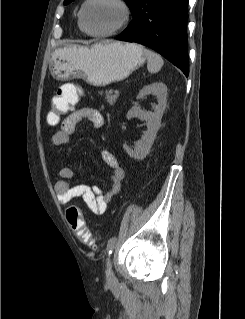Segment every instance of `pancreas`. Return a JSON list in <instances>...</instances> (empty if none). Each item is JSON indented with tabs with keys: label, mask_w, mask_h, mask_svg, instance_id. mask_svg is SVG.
<instances>
[{
	"label": "pancreas",
	"mask_w": 245,
	"mask_h": 319,
	"mask_svg": "<svg viewBox=\"0 0 245 319\" xmlns=\"http://www.w3.org/2000/svg\"><path fill=\"white\" fill-rule=\"evenodd\" d=\"M118 97H119V94L117 93L113 94L112 90H106L105 92V98L110 105H113L116 102Z\"/></svg>",
	"instance_id": "obj_1"
}]
</instances>
